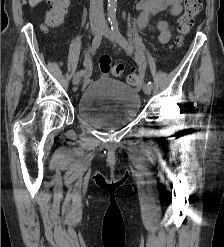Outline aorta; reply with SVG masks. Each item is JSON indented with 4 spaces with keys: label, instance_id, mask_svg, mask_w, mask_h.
Here are the masks:
<instances>
[{
    "label": "aorta",
    "instance_id": "1",
    "mask_svg": "<svg viewBox=\"0 0 224 247\" xmlns=\"http://www.w3.org/2000/svg\"><path fill=\"white\" fill-rule=\"evenodd\" d=\"M117 0H108V18L116 20Z\"/></svg>",
    "mask_w": 224,
    "mask_h": 247
}]
</instances>
